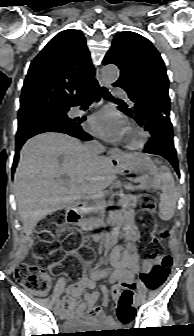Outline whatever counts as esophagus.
Returning <instances> with one entry per match:
<instances>
[{
	"label": "esophagus",
	"mask_w": 194,
	"mask_h": 336,
	"mask_svg": "<svg viewBox=\"0 0 194 336\" xmlns=\"http://www.w3.org/2000/svg\"><path fill=\"white\" fill-rule=\"evenodd\" d=\"M99 84H100L101 88L108 87V84L105 83V82H103V81H101V80L99 81ZM109 154H110V157L113 160H115V159L119 158L120 156H122L123 152L119 148H111L109 150Z\"/></svg>",
	"instance_id": "esophagus-1"
}]
</instances>
